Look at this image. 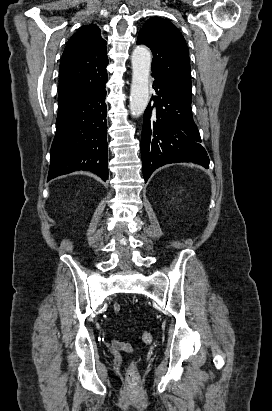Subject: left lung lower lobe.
I'll use <instances>...</instances> for the list:
<instances>
[{
	"label": "left lung lower lobe",
	"instance_id": "obj_1",
	"mask_svg": "<svg viewBox=\"0 0 272 411\" xmlns=\"http://www.w3.org/2000/svg\"><path fill=\"white\" fill-rule=\"evenodd\" d=\"M152 97L144 112L141 137L142 168L145 182L152 172L165 164L193 162L209 168V158L200 144L189 97L155 79Z\"/></svg>",
	"mask_w": 272,
	"mask_h": 411
}]
</instances>
